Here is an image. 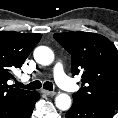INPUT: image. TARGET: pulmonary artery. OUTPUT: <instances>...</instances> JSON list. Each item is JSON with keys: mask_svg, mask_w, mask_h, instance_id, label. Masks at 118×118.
<instances>
[{"mask_svg": "<svg viewBox=\"0 0 118 118\" xmlns=\"http://www.w3.org/2000/svg\"><path fill=\"white\" fill-rule=\"evenodd\" d=\"M53 76L56 83L66 91L75 90L76 86L72 83L71 79L65 74L62 63L55 64L53 69Z\"/></svg>", "mask_w": 118, "mask_h": 118, "instance_id": "obj_1", "label": "pulmonary artery"}]
</instances>
